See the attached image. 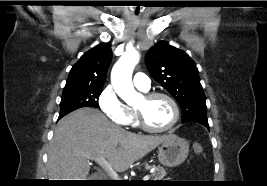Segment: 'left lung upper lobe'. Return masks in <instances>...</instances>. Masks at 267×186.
Instances as JSON below:
<instances>
[{"instance_id":"left-lung-upper-lobe-1","label":"left lung upper lobe","mask_w":267,"mask_h":186,"mask_svg":"<svg viewBox=\"0 0 267 186\" xmlns=\"http://www.w3.org/2000/svg\"><path fill=\"white\" fill-rule=\"evenodd\" d=\"M151 76L178 102L182 122L208 124L205 95L194 61L183 50L161 41L146 54Z\"/></svg>"}]
</instances>
